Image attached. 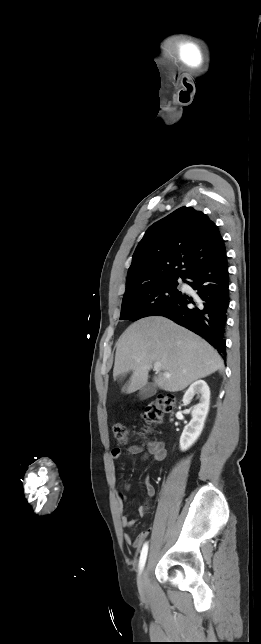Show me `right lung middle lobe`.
<instances>
[{
    "label": "right lung middle lobe",
    "mask_w": 261,
    "mask_h": 644,
    "mask_svg": "<svg viewBox=\"0 0 261 644\" xmlns=\"http://www.w3.org/2000/svg\"><path fill=\"white\" fill-rule=\"evenodd\" d=\"M178 278H168L140 284L126 289L123 296L120 320L136 321L155 315L174 303L182 294Z\"/></svg>",
    "instance_id": "1"
}]
</instances>
